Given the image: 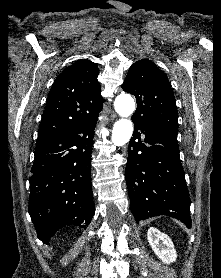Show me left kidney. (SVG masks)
<instances>
[{
  "label": "left kidney",
  "mask_w": 221,
  "mask_h": 278,
  "mask_svg": "<svg viewBox=\"0 0 221 278\" xmlns=\"http://www.w3.org/2000/svg\"><path fill=\"white\" fill-rule=\"evenodd\" d=\"M147 239L154 253L162 262L170 264L176 261L177 253L170 237L155 227H150L147 232Z\"/></svg>",
  "instance_id": "obj_1"
}]
</instances>
